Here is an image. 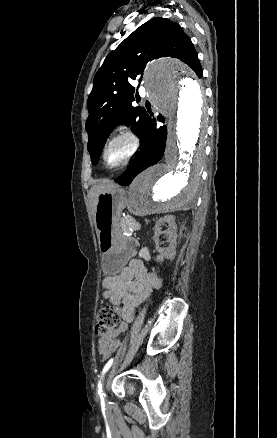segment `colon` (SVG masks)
<instances>
[{
  "label": "colon",
  "instance_id": "1",
  "mask_svg": "<svg viewBox=\"0 0 277 438\" xmlns=\"http://www.w3.org/2000/svg\"><path fill=\"white\" fill-rule=\"evenodd\" d=\"M118 317L119 313L114 307H102L96 318V332L102 336H110L117 324ZM109 340L112 345L118 344L113 338H109Z\"/></svg>",
  "mask_w": 277,
  "mask_h": 438
}]
</instances>
